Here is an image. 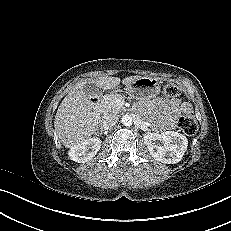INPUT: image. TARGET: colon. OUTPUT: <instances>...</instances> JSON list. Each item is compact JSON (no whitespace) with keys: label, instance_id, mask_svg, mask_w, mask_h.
Returning <instances> with one entry per match:
<instances>
[{"label":"colon","instance_id":"colon-1","mask_svg":"<svg viewBox=\"0 0 231 231\" xmlns=\"http://www.w3.org/2000/svg\"><path fill=\"white\" fill-rule=\"evenodd\" d=\"M164 94L167 97L174 98L179 96L180 89L175 84H167L164 87ZM177 126L186 135H194L198 129L197 121L191 112L182 114L177 120Z\"/></svg>","mask_w":231,"mask_h":231}]
</instances>
